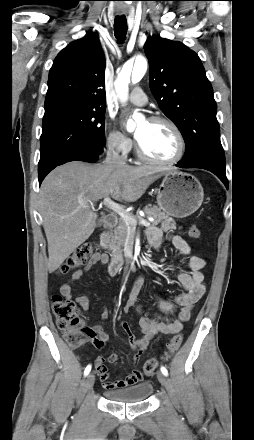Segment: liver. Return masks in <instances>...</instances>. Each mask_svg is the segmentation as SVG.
I'll list each match as a JSON object with an SVG mask.
<instances>
[{
    "label": "liver",
    "instance_id": "1",
    "mask_svg": "<svg viewBox=\"0 0 254 440\" xmlns=\"http://www.w3.org/2000/svg\"><path fill=\"white\" fill-rule=\"evenodd\" d=\"M159 178L148 167L70 162L43 180L39 208L48 242V270L54 272L93 233L97 213L89 204L104 197L138 200Z\"/></svg>",
    "mask_w": 254,
    "mask_h": 440
}]
</instances>
